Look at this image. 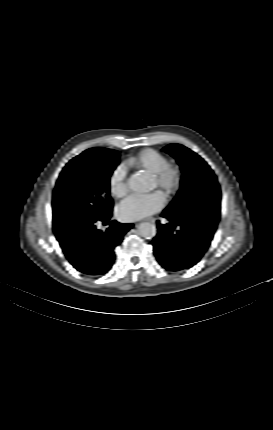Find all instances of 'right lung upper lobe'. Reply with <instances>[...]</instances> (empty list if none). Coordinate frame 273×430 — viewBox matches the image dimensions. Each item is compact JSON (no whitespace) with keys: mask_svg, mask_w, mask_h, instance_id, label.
Returning a JSON list of instances; mask_svg holds the SVG:
<instances>
[{"mask_svg":"<svg viewBox=\"0 0 273 430\" xmlns=\"http://www.w3.org/2000/svg\"><path fill=\"white\" fill-rule=\"evenodd\" d=\"M90 150L99 151V152H102V153H111V152L115 151V150L106 149V148H92Z\"/></svg>","mask_w":273,"mask_h":430,"instance_id":"right-lung-upper-lobe-1","label":"right lung upper lobe"}]
</instances>
